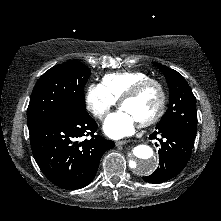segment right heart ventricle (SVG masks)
Instances as JSON below:
<instances>
[{"label": "right heart ventricle", "mask_w": 221, "mask_h": 221, "mask_svg": "<svg viewBox=\"0 0 221 221\" xmlns=\"http://www.w3.org/2000/svg\"><path fill=\"white\" fill-rule=\"evenodd\" d=\"M148 78L150 76L141 71H122L106 74L102 79V84L119 100L135 84Z\"/></svg>", "instance_id": "e07e8e85"}]
</instances>
